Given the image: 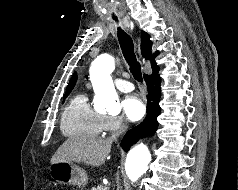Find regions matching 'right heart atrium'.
Masks as SVG:
<instances>
[{"label": "right heart atrium", "mask_w": 238, "mask_h": 190, "mask_svg": "<svg viewBox=\"0 0 238 190\" xmlns=\"http://www.w3.org/2000/svg\"><path fill=\"white\" fill-rule=\"evenodd\" d=\"M125 123L120 116H105L104 131L116 132L124 128Z\"/></svg>", "instance_id": "obj_1"}]
</instances>
